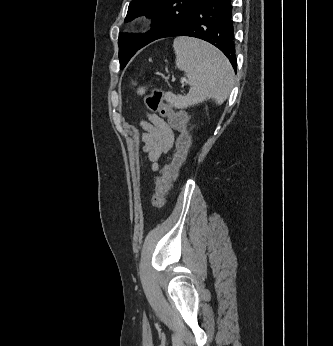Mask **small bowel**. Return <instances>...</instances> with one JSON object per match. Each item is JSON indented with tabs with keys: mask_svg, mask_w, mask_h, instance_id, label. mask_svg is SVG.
Segmentation results:
<instances>
[{
	"mask_svg": "<svg viewBox=\"0 0 333 346\" xmlns=\"http://www.w3.org/2000/svg\"><path fill=\"white\" fill-rule=\"evenodd\" d=\"M141 126L143 151L152 162L153 168L157 169L158 160L174 145V131L167 121L154 113H149L147 120L141 121Z\"/></svg>",
	"mask_w": 333,
	"mask_h": 346,
	"instance_id": "1",
	"label": "small bowel"
}]
</instances>
